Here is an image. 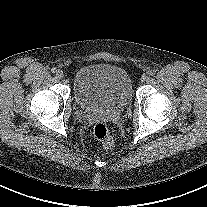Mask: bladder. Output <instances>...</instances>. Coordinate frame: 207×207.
Segmentation results:
<instances>
[{
	"mask_svg": "<svg viewBox=\"0 0 207 207\" xmlns=\"http://www.w3.org/2000/svg\"><path fill=\"white\" fill-rule=\"evenodd\" d=\"M73 94L85 110H117L126 107L133 96L129 73L111 64H91L80 68L73 79Z\"/></svg>",
	"mask_w": 207,
	"mask_h": 207,
	"instance_id": "1",
	"label": "bladder"
}]
</instances>
